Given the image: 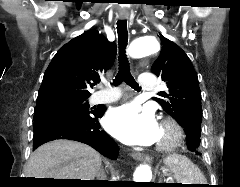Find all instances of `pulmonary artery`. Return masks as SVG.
I'll list each match as a JSON object with an SVG mask.
<instances>
[{
    "label": "pulmonary artery",
    "mask_w": 240,
    "mask_h": 187,
    "mask_svg": "<svg viewBox=\"0 0 240 187\" xmlns=\"http://www.w3.org/2000/svg\"><path fill=\"white\" fill-rule=\"evenodd\" d=\"M138 82L143 91L149 92L153 91L156 88V80L151 74L140 75ZM121 94L119 92L111 93H96L92 96V102L99 103H110L118 100Z\"/></svg>",
    "instance_id": "e3ab8cb5"
}]
</instances>
